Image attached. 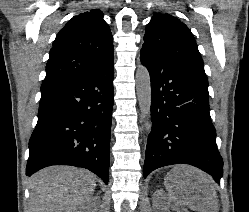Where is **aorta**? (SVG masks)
I'll return each mask as SVG.
<instances>
[{
    "label": "aorta",
    "mask_w": 249,
    "mask_h": 212,
    "mask_svg": "<svg viewBox=\"0 0 249 212\" xmlns=\"http://www.w3.org/2000/svg\"><path fill=\"white\" fill-rule=\"evenodd\" d=\"M136 93L143 118L151 115V80L149 71L144 66H138L136 71Z\"/></svg>",
    "instance_id": "aorta-1"
}]
</instances>
